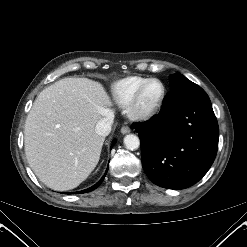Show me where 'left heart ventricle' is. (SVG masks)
<instances>
[{
    "instance_id": "b2bd125f",
    "label": "left heart ventricle",
    "mask_w": 247,
    "mask_h": 247,
    "mask_svg": "<svg viewBox=\"0 0 247 247\" xmlns=\"http://www.w3.org/2000/svg\"><path fill=\"white\" fill-rule=\"evenodd\" d=\"M162 94V87L159 83L149 84L143 91L139 100L138 108L142 111L153 108L159 101Z\"/></svg>"
}]
</instances>
